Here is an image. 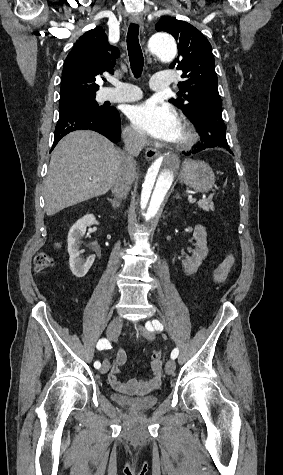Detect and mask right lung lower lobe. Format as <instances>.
Wrapping results in <instances>:
<instances>
[{
	"mask_svg": "<svg viewBox=\"0 0 283 475\" xmlns=\"http://www.w3.org/2000/svg\"><path fill=\"white\" fill-rule=\"evenodd\" d=\"M75 130H93L117 142L121 134L119 113L114 107H109L105 114L83 106L59 110L52 149L62 137Z\"/></svg>",
	"mask_w": 283,
	"mask_h": 475,
	"instance_id": "right-lung-lower-lobe-1",
	"label": "right lung lower lobe"
}]
</instances>
